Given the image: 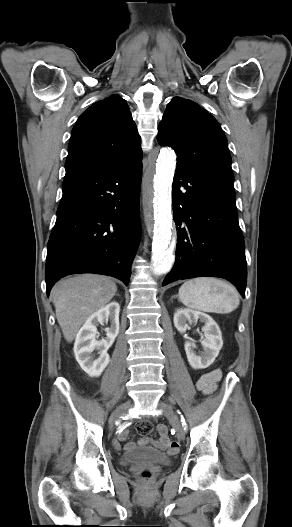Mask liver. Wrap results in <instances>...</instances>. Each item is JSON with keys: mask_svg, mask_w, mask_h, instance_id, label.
<instances>
[{"mask_svg": "<svg viewBox=\"0 0 292 527\" xmlns=\"http://www.w3.org/2000/svg\"><path fill=\"white\" fill-rule=\"evenodd\" d=\"M116 292L117 285L103 275L82 274L57 282L51 298L64 338L72 342L83 323L109 303Z\"/></svg>", "mask_w": 292, "mask_h": 527, "instance_id": "liver-1", "label": "liver"}]
</instances>
